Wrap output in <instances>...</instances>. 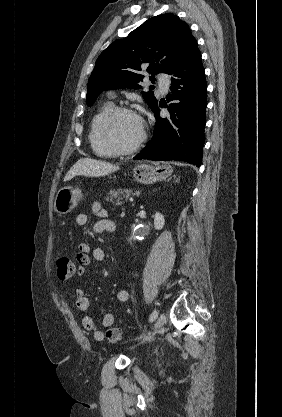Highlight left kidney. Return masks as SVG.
Here are the masks:
<instances>
[{"label":"left kidney","mask_w":282,"mask_h":417,"mask_svg":"<svg viewBox=\"0 0 282 417\" xmlns=\"http://www.w3.org/2000/svg\"><path fill=\"white\" fill-rule=\"evenodd\" d=\"M165 225V219L161 213H155L154 215V227L157 231H161Z\"/></svg>","instance_id":"left-kidney-1"}]
</instances>
